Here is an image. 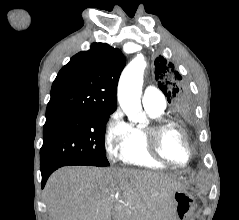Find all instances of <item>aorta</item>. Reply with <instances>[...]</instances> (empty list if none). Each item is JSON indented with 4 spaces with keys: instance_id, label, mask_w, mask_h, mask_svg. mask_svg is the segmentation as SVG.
<instances>
[{
    "instance_id": "762f6f07",
    "label": "aorta",
    "mask_w": 239,
    "mask_h": 220,
    "mask_svg": "<svg viewBox=\"0 0 239 220\" xmlns=\"http://www.w3.org/2000/svg\"><path fill=\"white\" fill-rule=\"evenodd\" d=\"M146 61L143 57L133 59L124 69L118 86V101L129 121L144 120L141 106V90Z\"/></svg>"
}]
</instances>
